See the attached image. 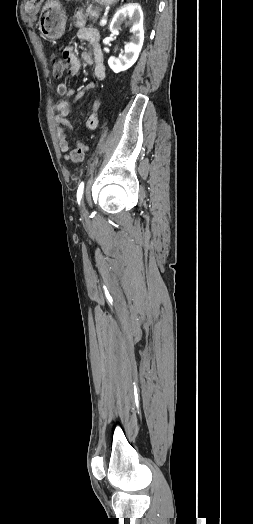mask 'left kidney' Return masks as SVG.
Returning a JSON list of instances; mask_svg holds the SVG:
<instances>
[{"label": "left kidney", "instance_id": "5707ae66", "mask_svg": "<svg viewBox=\"0 0 253 524\" xmlns=\"http://www.w3.org/2000/svg\"><path fill=\"white\" fill-rule=\"evenodd\" d=\"M126 21L132 24L133 35L130 42L125 45L123 55L119 58L110 57L108 60L109 67L116 73L127 70L137 61L144 41L143 12L139 4L131 3L121 7L111 21L110 31L118 34Z\"/></svg>", "mask_w": 253, "mask_h": 524}]
</instances>
